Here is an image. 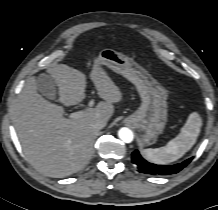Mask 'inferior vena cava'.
<instances>
[{"mask_svg": "<svg viewBox=\"0 0 218 210\" xmlns=\"http://www.w3.org/2000/svg\"><path fill=\"white\" fill-rule=\"evenodd\" d=\"M107 121L105 120H97L93 123V126L95 129L97 130H101L102 128H104L106 126Z\"/></svg>", "mask_w": 218, "mask_h": 210, "instance_id": "602c4592", "label": "inferior vena cava"}]
</instances>
